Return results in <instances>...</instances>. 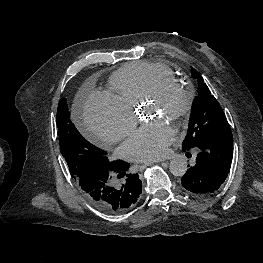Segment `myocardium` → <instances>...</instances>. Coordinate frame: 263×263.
I'll list each match as a JSON object with an SVG mask.
<instances>
[{"label":"myocardium","instance_id":"obj_1","mask_svg":"<svg viewBox=\"0 0 263 263\" xmlns=\"http://www.w3.org/2000/svg\"><path fill=\"white\" fill-rule=\"evenodd\" d=\"M171 92H176L181 96L180 106L170 117L172 121H179L190 113L194 103V92L188 85L176 78L166 77L160 79L145 95L143 101L147 103L160 102Z\"/></svg>","mask_w":263,"mask_h":263}]
</instances>
